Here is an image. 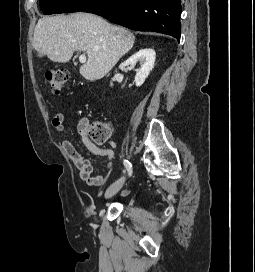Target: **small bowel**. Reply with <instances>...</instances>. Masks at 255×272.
Here are the masks:
<instances>
[{"instance_id": "c3829d8e", "label": "small bowel", "mask_w": 255, "mask_h": 272, "mask_svg": "<svg viewBox=\"0 0 255 272\" xmlns=\"http://www.w3.org/2000/svg\"><path fill=\"white\" fill-rule=\"evenodd\" d=\"M53 127L58 131L64 130V115L62 113H57L52 119ZM78 133L81 137V140L86 147V149L97 156H100L105 159L104 171L107 173L110 171L113 160H114V151L112 148H102L92 142L86 134V123L84 121L80 122L78 125ZM62 147L72 160L76 168L79 170L81 178L86 181L90 186H101L105 182V175H93V166L89 159L84 155L79 153L74 147L73 143L70 140H63Z\"/></svg>"}]
</instances>
